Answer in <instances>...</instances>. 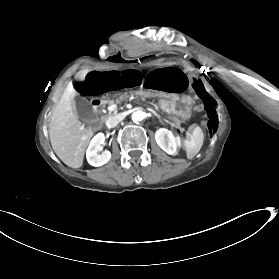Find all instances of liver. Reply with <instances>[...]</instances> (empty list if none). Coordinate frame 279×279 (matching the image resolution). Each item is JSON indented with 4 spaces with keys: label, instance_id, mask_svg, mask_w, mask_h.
Listing matches in <instances>:
<instances>
[{
    "label": "liver",
    "instance_id": "liver-1",
    "mask_svg": "<svg viewBox=\"0 0 279 279\" xmlns=\"http://www.w3.org/2000/svg\"><path fill=\"white\" fill-rule=\"evenodd\" d=\"M84 80V74L76 76ZM72 84H68L61 99L52 110L49 125L50 142L57 156L69 167L79 168L83 164L84 152L93 131L78 120L74 98L77 96Z\"/></svg>",
    "mask_w": 279,
    "mask_h": 279
}]
</instances>
